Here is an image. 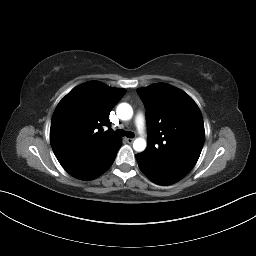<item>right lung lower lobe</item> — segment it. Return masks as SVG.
<instances>
[{"instance_id": "1", "label": "right lung lower lobe", "mask_w": 256, "mask_h": 256, "mask_svg": "<svg viewBox=\"0 0 256 256\" xmlns=\"http://www.w3.org/2000/svg\"><path fill=\"white\" fill-rule=\"evenodd\" d=\"M120 141L117 145L103 149L88 160L73 164L64 168L73 177L80 180H92L103 174L114 162L117 151L121 147Z\"/></svg>"}]
</instances>
